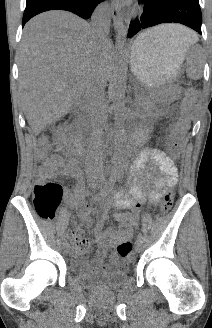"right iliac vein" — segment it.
<instances>
[{"mask_svg":"<svg viewBox=\"0 0 212 328\" xmlns=\"http://www.w3.org/2000/svg\"><path fill=\"white\" fill-rule=\"evenodd\" d=\"M63 251L65 254H69L70 252V245L67 242L63 244Z\"/></svg>","mask_w":212,"mask_h":328,"instance_id":"obj_1","label":"right iliac vein"}]
</instances>
